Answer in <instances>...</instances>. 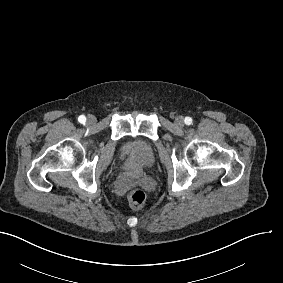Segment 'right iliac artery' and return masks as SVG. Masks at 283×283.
<instances>
[{"mask_svg": "<svg viewBox=\"0 0 283 283\" xmlns=\"http://www.w3.org/2000/svg\"><path fill=\"white\" fill-rule=\"evenodd\" d=\"M78 121H79L80 123H85L86 117H85L84 115H81V116L78 117Z\"/></svg>", "mask_w": 283, "mask_h": 283, "instance_id": "right-iliac-artery-1", "label": "right iliac artery"}]
</instances>
